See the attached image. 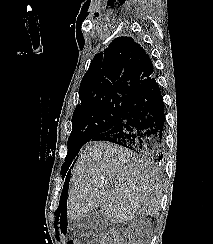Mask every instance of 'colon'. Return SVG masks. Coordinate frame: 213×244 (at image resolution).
Returning <instances> with one entry per match:
<instances>
[{
    "label": "colon",
    "instance_id": "colon-1",
    "mask_svg": "<svg viewBox=\"0 0 213 244\" xmlns=\"http://www.w3.org/2000/svg\"><path fill=\"white\" fill-rule=\"evenodd\" d=\"M67 244H79V243L76 241H68Z\"/></svg>",
    "mask_w": 213,
    "mask_h": 244
}]
</instances>
